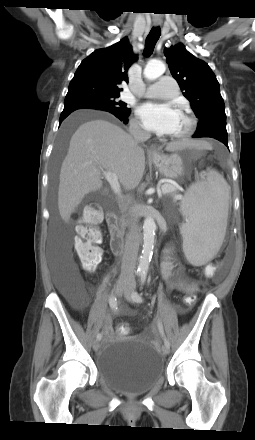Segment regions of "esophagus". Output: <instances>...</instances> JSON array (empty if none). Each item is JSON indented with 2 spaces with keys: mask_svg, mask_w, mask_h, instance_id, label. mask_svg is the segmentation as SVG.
<instances>
[{
  "mask_svg": "<svg viewBox=\"0 0 255 440\" xmlns=\"http://www.w3.org/2000/svg\"><path fill=\"white\" fill-rule=\"evenodd\" d=\"M160 25H161L160 22H154V26H155V27H158V26H160ZM150 154H151L152 156H154V157L158 156V152H157V149H156L155 146H151V148H150Z\"/></svg>",
  "mask_w": 255,
  "mask_h": 440,
  "instance_id": "1",
  "label": "esophagus"
}]
</instances>
